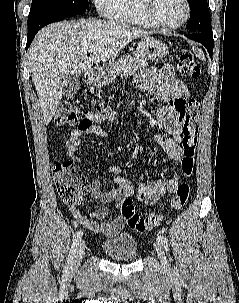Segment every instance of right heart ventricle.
Listing matches in <instances>:
<instances>
[{
    "label": "right heart ventricle",
    "mask_w": 239,
    "mask_h": 303,
    "mask_svg": "<svg viewBox=\"0 0 239 303\" xmlns=\"http://www.w3.org/2000/svg\"><path fill=\"white\" fill-rule=\"evenodd\" d=\"M112 18L144 28L153 27L142 14L139 0H118Z\"/></svg>",
    "instance_id": "1"
}]
</instances>
